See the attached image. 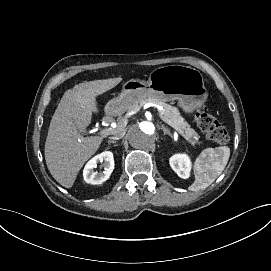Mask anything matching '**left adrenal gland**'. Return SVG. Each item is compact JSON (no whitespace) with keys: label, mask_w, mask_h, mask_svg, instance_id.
Wrapping results in <instances>:
<instances>
[{"label":"left adrenal gland","mask_w":271,"mask_h":271,"mask_svg":"<svg viewBox=\"0 0 271 271\" xmlns=\"http://www.w3.org/2000/svg\"><path fill=\"white\" fill-rule=\"evenodd\" d=\"M161 129L163 130L164 135L168 134L170 137H172L170 130L167 127H165L164 124L161 125Z\"/></svg>","instance_id":"obj_1"}]
</instances>
